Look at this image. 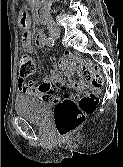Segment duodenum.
<instances>
[{
    "mask_svg": "<svg viewBox=\"0 0 123 167\" xmlns=\"http://www.w3.org/2000/svg\"><path fill=\"white\" fill-rule=\"evenodd\" d=\"M36 14L41 24L45 23V11L41 6L40 0H36Z\"/></svg>",
    "mask_w": 123,
    "mask_h": 167,
    "instance_id": "1",
    "label": "duodenum"
}]
</instances>
